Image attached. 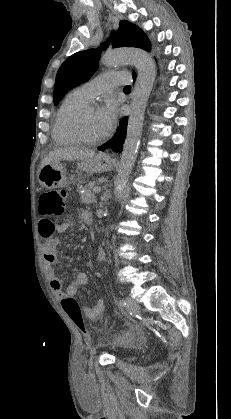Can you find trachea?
<instances>
[{
	"label": "trachea",
	"mask_w": 231,
	"mask_h": 419,
	"mask_svg": "<svg viewBox=\"0 0 231 419\" xmlns=\"http://www.w3.org/2000/svg\"><path fill=\"white\" fill-rule=\"evenodd\" d=\"M124 90H131V87L129 85L124 87Z\"/></svg>",
	"instance_id": "1"
}]
</instances>
